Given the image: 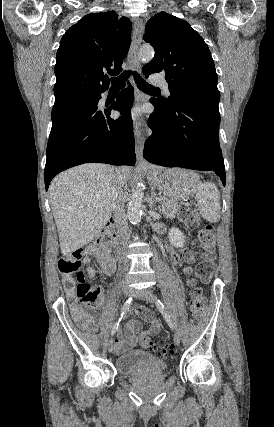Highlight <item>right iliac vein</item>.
Instances as JSON below:
<instances>
[{"label":"right iliac vein","mask_w":274,"mask_h":427,"mask_svg":"<svg viewBox=\"0 0 274 427\" xmlns=\"http://www.w3.org/2000/svg\"><path fill=\"white\" fill-rule=\"evenodd\" d=\"M121 290L126 297H128L132 294V289L124 281L122 283ZM113 350H114V340H113V338H111L109 343H108V351H109V353H112Z\"/></svg>","instance_id":"1"}]
</instances>
